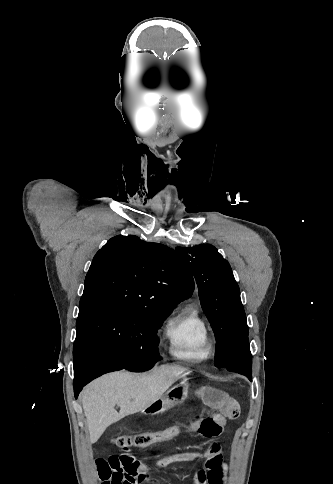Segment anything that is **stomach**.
<instances>
[{
	"instance_id": "1",
	"label": "stomach",
	"mask_w": 333,
	"mask_h": 484,
	"mask_svg": "<svg viewBox=\"0 0 333 484\" xmlns=\"http://www.w3.org/2000/svg\"><path fill=\"white\" fill-rule=\"evenodd\" d=\"M188 395L186 380L171 388L164 396L144 410L149 414H158L171 409L175 404L182 403Z\"/></svg>"
}]
</instances>
